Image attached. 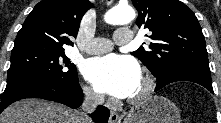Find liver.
Listing matches in <instances>:
<instances>
[{
  "label": "liver",
  "instance_id": "obj_1",
  "mask_svg": "<svg viewBox=\"0 0 221 123\" xmlns=\"http://www.w3.org/2000/svg\"><path fill=\"white\" fill-rule=\"evenodd\" d=\"M80 113L39 99L15 102L0 115V123H81Z\"/></svg>",
  "mask_w": 221,
  "mask_h": 123
}]
</instances>
